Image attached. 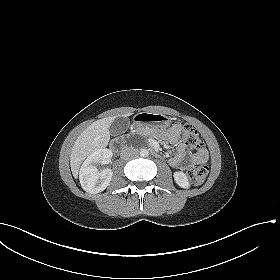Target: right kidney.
Returning a JSON list of instances; mask_svg holds the SVG:
<instances>
[{"mask_svg":"<svg viewBox=\"0 0 280 280\" xmlns=\"http://www.w3.org/2000/svg\"><path fill=\"white\" fill-rule=\"evenodd\" d=\"M113 154L109 149H98L90 154L80 168L79 180L82 188L90 193L97 194L109 185L113 171L109 168L99 171L97 164L108 163Z\"/></svg>","mask_w":280,"mask_h":280,"instance_id":"1","label":"right kidney"}]
</instances>
